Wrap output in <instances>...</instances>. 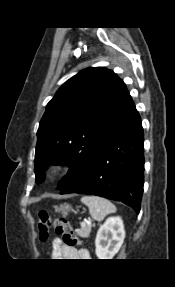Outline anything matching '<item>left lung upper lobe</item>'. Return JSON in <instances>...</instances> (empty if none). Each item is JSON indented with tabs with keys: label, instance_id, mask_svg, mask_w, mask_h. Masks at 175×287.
Returning <instances> with one entry per match:
<instances>
[{
	"label": "left lung upper lobe",
	"instance_id": "5c2ea615",
	"mask_svg": "<svg viewBox=\"0 0 175 287\" xmlns=\"http://www.w3.org/2000/svg\"><path fill=\"white\" fill-rule=\"evenodd\" d=\"M125 83L103 67L84 69L66 81L47 104L37 132L36 181L48 165L70 169L58 184L62 190L81 177L100 145L134 113Z\"/></svg>",
	"mask_w": 175,
	"mask_h": 287
}]
</instances>
